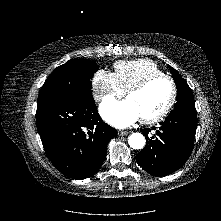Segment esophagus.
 I'll return each mask as SVG.
<instances>
[{"label": "esophagus", "mask_w": 221, "mask_h": 221, "mask_svg": "<svg viewBox=\"0 0 221 221\" xmlns=\"http://www.w3.org/2000/svg\"><path fill=\"white\" fill-rule=\"evenodd\" d=\"M129 134V132L128 131H125V130H119L118 131V135L119 136H125V135H128Z\"/></svg>", "instance_id": "obj_1"}]
</instances>
